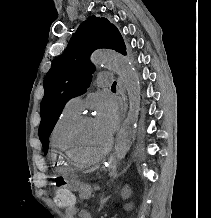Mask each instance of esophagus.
<instances>
[{"mask_svg":"<svg viewBox=\"0 0 211 218\" xmlns=\"http://www.w3.org/2000/svg\"><path fill=\"white\" fill-rule=\"evenodd\" d=\"M118 84H119L120 87H122V82L120 80L118 81ZM122 92L124 93V94H122V100H123V103L126 104V102H127L126 98L129 95L126 93L127 91L125 89ZM102 163L103 164H102L101 171L102 172H109L110 171V167H111V163H112L111 156H108V159H103Z\"/></svg>","mask_w":211,"mask_h":218,"instance_id":"obj_1","label":"esophagus"}]
</instances>
